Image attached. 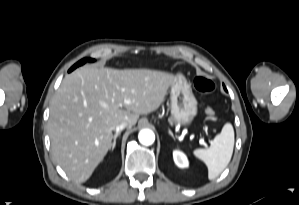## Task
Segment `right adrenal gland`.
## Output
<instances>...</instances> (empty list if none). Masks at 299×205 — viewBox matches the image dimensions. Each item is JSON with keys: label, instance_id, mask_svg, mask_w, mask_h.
Instances as JSON below:
<instances>
[{"label": "right adrenal gland", "instance_id": "obj_1", "mask_svg": "<svg viewBox=\"0 0 299 205\" xmlns=\"http://www.w3.org/2000/svg\"><path fill=\"white\" fill-rule=\"evenodd\" d=\"M120 135V132H117L115 135H114V139H113V143L111 145V150L113 151L115 146H116V139L117 137Z\"/></svg>", "mask_w": 299, "mask_h": 205}]
</instances>
